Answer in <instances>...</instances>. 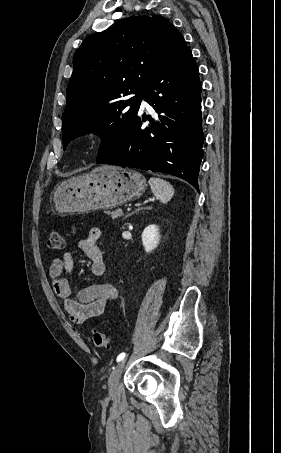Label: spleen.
<instances>
[{
  "instance_id": "3e777b00",
  "label": "spleen",
  "mask_w": 281,
  "mask_h": 453,
  "mask_svg": "<svg viewBox=\"0 0 281 453\" xmlns=\"http://www.w3.org/2000/svg\"><path fill=\"white\" fill-rule=\"evenodd\" d=\"M150 188L160 202H169L174 194V188L170 182L163 180V178H149Z\"/></svg>"
}]
</instances>
